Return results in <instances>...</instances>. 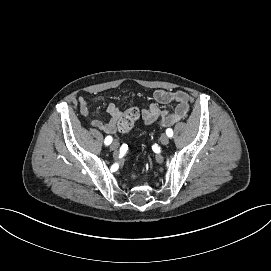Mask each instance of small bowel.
Segmentation results:
<instances>
[{"mask_svg": "<svg viewBox=\"0 0 271 271\" xmlns=\"http://www.w3.org/2000/svg\"><path fill=\"white\" fill-rule=\"evenodd\" d=\"M153 99L154 103L141 111V119L146 125L159 122L163 126H170L184 119L189 112L190 96L184 91L158 89L153 93ZM78 101L81 113L88 116L90 113L88 101L84 97H80ZM171 103L174 104L172 110H162L160 107ZM107 113L109 121L94 119L91 125L107 134H112L117 130L122 112L116 104L110 103L107 106Z\"/></svg>", "mask_w": 271, "mask_h": 271, "instance_id": "small-bowel-1", "label": "small bowel"}]
</instances>
